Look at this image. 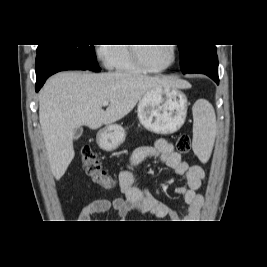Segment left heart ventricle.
Listing matches in <instances>:
<instances>
[{
    "label": "left heart ventricle",
    "instance_id": "left-heart-ventricle-1",
    "mask_svg": "<svg viewBox=\"0 0 267 267\" xmlns=\"http://www.w3.org/2000/svg\"><path fill=\"white\" fill-rule=\"evenodd\" d=\"M139 50L142 59L150 67H163L172 59V49L170 44L140 46Z\"/></svg>",
    "mask_w": 267,
    "mask_h": 267
}]
</instances>
